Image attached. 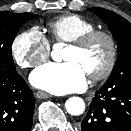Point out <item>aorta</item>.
I'll return each mask as SVG.
<instances>
[{"label": "aorta", "mask_w": 131, "mask_h": 131, "mask_svg": "<svg viewBox=\"0 0 131 131\" xmlns=\"http://www.w3.org/2000/svg\"><path fill=\"white\" fill-rule=\"evenodd\" d=\"M58 49L55 47L52 55L55 57L58 55ZM65 108L70 115L78 116L81 115L85 110V103L80 97H71L65 102Z\"/></svg>", "instance_id": "762f6f07"}]
</instances>
